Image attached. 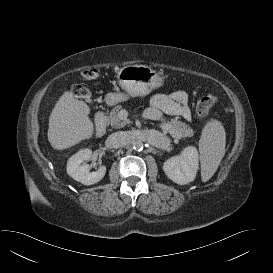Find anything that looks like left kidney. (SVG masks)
<instances>
[{"mask_svg": "<svg viewBox=\"0 0 273 273\" xmlns=\"http://www.w3.org/2000/svg\"><path fill=\"white\" fill-rule=\"evenodd\" d=\"M199 165L198 151L193 146L186 147L180 155L166 160L163 165L165 174L173 182L185 185L195 179Z\"/></svg>", "mask_w": 273, "mask_h": 273, "instance_id": "1", "label": "left kidney"}]
</instances>
